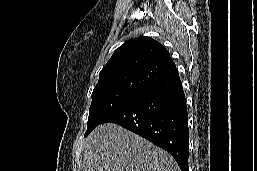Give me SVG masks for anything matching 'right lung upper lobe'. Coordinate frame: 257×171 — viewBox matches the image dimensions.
I'll return each instance as SVG.
<instances>
[{"label":"right lung upper lobe","instance_id":"cb5924a9","mask_svg":"<svg viewBox=\"0 0 257 171\" xmlns=\"http://www.w3.org/2000/svg\"><path fill=\"white\" fill-rule=\"evenodd\" d=\"M177 73L169 52L150 37L121 45L99 74L95 88L109 85H143L147 88Z\"/></svg>","mask_w":257,"mask_h":171}]
</instances>
